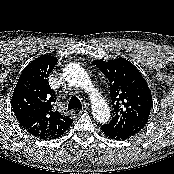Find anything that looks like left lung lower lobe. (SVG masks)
Returning <instances> with one entry per match:
<instances>
[{
	"label": "left lung lower lobe",
	"instance_id": "1",
	"mask_svg": "<svg viewBox=\"0 0 174 174\" xmlns=\"http://www.w3.org/2000/svg\"><path fill=\"white\" fill-rule=\"evenodd\" d=\"M101 131L106 137H108L110 139L125 140V139L131 137V135L116 132L106 125L101 126Z\"/></svg>",
	"mask_w": 174,
	"mask_h": 174
}]
</instances>
